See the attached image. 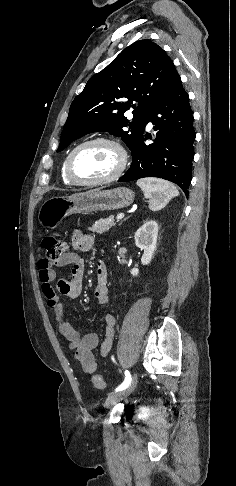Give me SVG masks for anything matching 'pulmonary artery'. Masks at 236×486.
Listing matches in <instances>:
<instances>
[{
    "label": "pulmonary artery",
    "instance_id": "1",
    "mask_svg": "<svg viewBox=\"0 0 236 486\" xmlns=\"http://www.w3.org/2000/svg\"><path fill=\"white\" fill-rule=\"evenodd\" d=\"M152 126H153V125H152V122L150 121V122L148 123V127H149V128H151Z\"/></svg>",
    "mask_w": 236,
    "mask_h": 486
}]
</instances>
